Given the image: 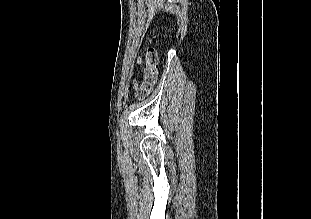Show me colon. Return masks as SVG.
Here are the masks:
<instances>
[{
    "mask_svg": "<svg viewBox=\"0 0 311 219\" xmlns=\"http://www.w3.org/2000/svg\"><path fill=\"white\" fill-rule=\"evenodd\" d=\"M138 63L142 66V74L134 85V91L138 99H143L149 94L157 80L158 56L156 51L148 49Z\"/></svg>",
    "mask_w": 311,
    "mask_h": 219,
    "instance_id": "1",
    "label": "colon"
}]
</instances>
